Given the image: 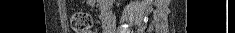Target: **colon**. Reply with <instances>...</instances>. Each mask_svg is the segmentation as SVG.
<instances>
[{"label": "colon", "mask_w": 235, "mask_h": 33, "mask_svg": "<svg viewBox=\"0 0 235 33\" xmlns=\"http://www.w3.org/2000/svg\"><path fill=\"white\" fill-rule=\"evenodd\" d=\"M70 26L74 33H88L92 26V19L86 12L74 11L70 15Z\"/></svg>", "instance_id": "1"}]
</instances>
